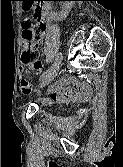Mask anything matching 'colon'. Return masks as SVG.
Listing matches in <instances>:
<instances>
[{"label": "colon", "mask_w": 123, "mask_h": 167, "mask_svg": "<svg viewBox=\"0 0 123 167\" xmlns=\"http://www.w3.org/2000/svg\"><path fill=\"white\" fill-rule=\"evenodd\" d=\"M45 28L42 9L40 7H35L31 18L27 19L24 23L23 49L21 54V61L23 64L33 65L35 67L41 64L36 44L39 43Z\"/></svg>", "instance_id": "obj_1"}]
</instances>
